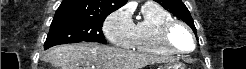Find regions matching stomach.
<instances>
[{"instance_id":"1","label":"stomach","mask_w":246,"mask_h":69,"mask_svg":"<svg viewBox=\"0 0 246 69\" xmlns=\"http://www.w3.org/2000/svg\"><path fill=\"white\" fill-rule=\"evenodd\" d=\"M160 69H186V68L180 63H168L163 67H161Z\"/></svg>"}]
</instances>
